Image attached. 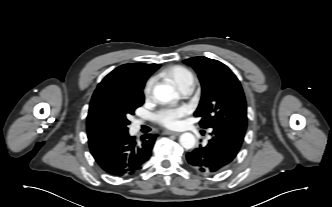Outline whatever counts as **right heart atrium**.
Wrapping results in <instances>:
<instances>
[{
  "mask_svg": "<svg viewBox=\"0 0 332 207\" xmlns=\"http://www.w3.org/2000/svg\"><path fill=\"white\" fill-rule=\"evenodd\" d=\"M153 86H154V79L151 78L144 85L143 92L145 97H149L151 95Z\"/></svg>",
  "mask_w": 332,
  "mask_h": 207,
  "instance_id": "d8ad5b80",
  "label": "right heart atrium"
}]
</instances>
